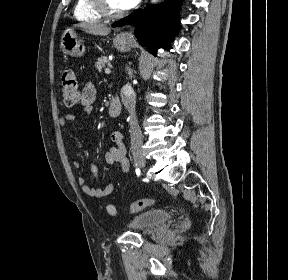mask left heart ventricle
Masks as SVG:
<instances>
[{
	"instance_id": "obj_1",
	"label": "left heart ventricle",
	"mask_w": 288,
	"mask_h": 280,
	"mask_svg": "<svg viewBox=\"0 0 288 280\" xmlns=\"http://www.w3.org/2000/svg\"><path fill=\"white\" fill-rule=\"evenodd\" d=\"M108 7L112 11H121V8L119 7L118 1L117 0H106Z\"/></svg>"
}]
</instances>
